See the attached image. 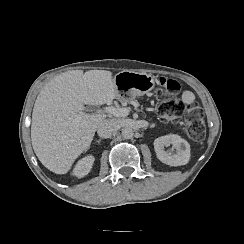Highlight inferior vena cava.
I'll return each mask as SVG.
<instances>
[{
  "mask_svg": "<svg viewBox=\"0 0 244 244\" xmlns=\"http://www.w3.org/2000/svg\"><path fill=\"white\" fill-rule=\"evenodd\" d=\"M119 130V125L112 119H105L99 123L97 133L102 138H109L113 133Z\"/></svg>",
  "mask_w": 244,
  "mask_h": 244,
  "instance_id": "obj_1",
  "label": "inferior vena cava"
}]
</instances>
